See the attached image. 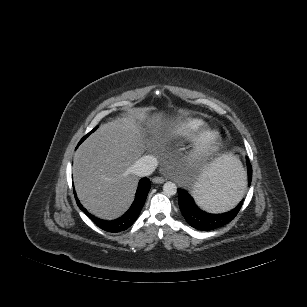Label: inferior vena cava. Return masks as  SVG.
<instances>
[{
    "instance_id": "1",
    "label": "inferior vena cava",
    "mask_w": 307,
    "mask_h": 307,
    "mask_svg": "<svg viewBox=\"0 0 307 307\" xmlns=\"http://www.w3.org/2000/svg\"><path fill=\"white\" fill-rule=\"evenodd\" d=\"M157 165L158 161L153 155H145L135 162L132 171L140 177L149 176L155 171Z\"/></svg>"
}]
</instances>
